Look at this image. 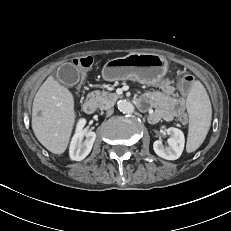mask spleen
Masks as SVG:
<instances>
[{"label":"spleen","mask_w":231,"mask_h":231,"mask_svg":"<svg viewBox=\"0 0 231 231\" xmlns=\"http://www.w3.org/2000/svg\"><path fill=\"white\" fill-rule=\"evenodd\" d=\"M187 111L189 114V130L186 149L187 152L197 150L206 138L211 124L212 108L208 94L199 81L192 85L187 97Z\"/></svg>","instance_id":"obj_1"}]
</instances>
